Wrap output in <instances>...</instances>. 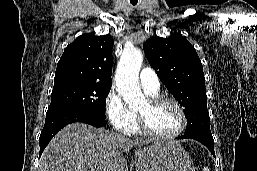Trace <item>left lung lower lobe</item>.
Here are the masks:
<instances>
[{"label": "left lung lower lobe", "instance_id": "0a47b994", "mask_svg": "<svg viewBox=\"0 0 257 171\" xmlns=\"http://www.w3.org/2000/svg\"><path fill=\"white\" fill-rule=\"evenodd\" d=\"M177 139H194L205 145L211 154L215 157L214 153V139L212 134H203V133H189L184 134L180 137H177Z\"/></svg>", "mask_w": 257, "mask_h": 171}]
</instances>
